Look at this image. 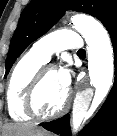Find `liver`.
I'll use <instances>...</instances> for the list:
<instances>
[{
  "label": "liver",
  "instance_id": "1",
  "mask_svg": "<svg viewBox=\"0 0 117 136\" xmlns=\"http://www.w3.org/2000/svg\"><path fill=\"white\" fill-rule=\"evenodd\" d=\"M4 131V136H47L46 131L26 123L5 125Z\"/></svg>",
  "mask_w": 117,
  "mask_h": 136
}]
</instances>
